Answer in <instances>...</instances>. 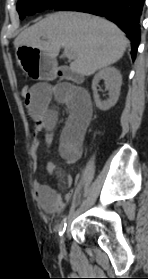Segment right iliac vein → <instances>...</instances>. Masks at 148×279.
<instances>
[{
	"instance_id": "1",
	"label": "right iliac vein",
	"mask_w": 148,
	"mask_h": 279,
	"mask_svg": "<svg viewBox=\"0 0 148 279\" xmlns=\"http://www.w3.org/2000/svg\"><path fill=\"white\" fill-rule=\"evenodd\" d=\"M64 242H65V234L61 238V248H63L65 246Z\"/></svg>"
}]
</instances>
